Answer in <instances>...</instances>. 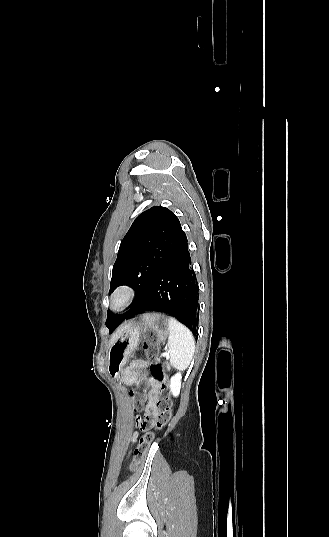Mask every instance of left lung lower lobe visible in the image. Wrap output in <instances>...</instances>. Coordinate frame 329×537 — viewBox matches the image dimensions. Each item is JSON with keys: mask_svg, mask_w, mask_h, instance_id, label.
I'll list each match as a JSON object with an SVG mask.
<instances>
[{"mask_svg": "<svg viewBox=\"0 0 329 537\" xmlns=\"http://www.w3.org/2000/svg\"><path fill=\"white\" fill-rule=\"evenodd\" d=\"M187 242L162 265L126 318L151 311L164 312L177 318L195 337L198 336L199 287Z\"/></svg>", "mask_w": 329, "mask_h": 537, "instance_id": "1", "label": "left lung lower lobe"}]
</instances>
